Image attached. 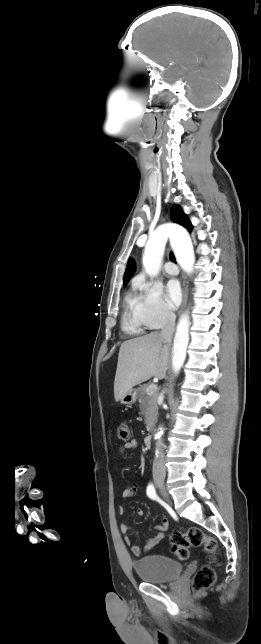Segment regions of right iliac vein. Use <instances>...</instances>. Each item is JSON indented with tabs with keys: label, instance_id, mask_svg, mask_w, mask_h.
I'll use <instances>...</instances> for the list:
<instances>
[{
	"label": "right iliac vein",
	"instance_id": "right-iliac-vein-1",
	"mask_svg": "<svg viewBox=\"0 0 261 644\" xmlns=\"http://www.w3.org/2000/svg\"><path fill=\"white\" fill-rule=\"evenodd\" d=\"M156 486L161 490L162 494L166 497V490L164 486V477L163 476H155L154 478Z\"/></svg>",
	"mask_w": 261,
	"mask_h": 644
}]
</instances>
